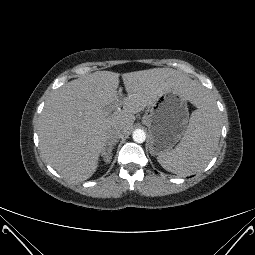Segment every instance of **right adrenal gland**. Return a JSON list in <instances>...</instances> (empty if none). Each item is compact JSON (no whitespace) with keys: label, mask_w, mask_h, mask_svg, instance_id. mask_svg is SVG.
<instances>
[{"label":"right adrenal gland","mask_w":255,"mask_h":255,"mask_svg":"<svg viewBox=\"0 0 255 255\" xmlns=\"http://www.w3.org/2000/svg\"><path fill=\"white\" fill-rule=\"evenodd\" d=\"M116 145V143H113L111 145H109V147H107V149L104 150L102 156L104 157V161L109 163L112 159V150L114 148V146Z\"/></svg>","instance_id":"right-adrenal-gland-1"}]
</instances>
